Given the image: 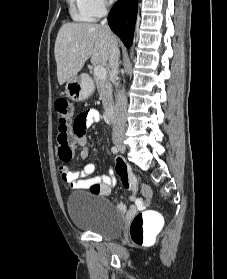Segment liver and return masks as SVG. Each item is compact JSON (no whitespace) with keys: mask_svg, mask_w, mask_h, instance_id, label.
Segmentation results:
<instances>
[{"mask_svg":"<svg viewBox=\"0 0 227 279\" xmlns=\"http://www.w3.org/2000/svg\"><path fill=\"white\" fill-rule=\"evenodd\" d=\"M112 43L117 44V39L108 27L96 23L63 24L54 49L58 83L62 85L76 76L90 57L92 64L106 65Z\"/></svg>","mask_w":227,"mask_h":279,"instance_id":"obj_1","label":"liver"}]
</instances>
